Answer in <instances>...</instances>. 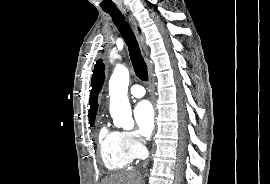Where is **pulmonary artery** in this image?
Returning <instances> with one entry per match:
<instances>
[{
	"label": "pulmonary artery",
	"mask_w": 270,
	"mask_h": 184,
	"mask_svg": "<svg viewBox=\"0 0 270 184\" xmlns=\"http://www.w3.org/2000/svg\"><path fill=\"white\" fill-rule=\"evenodd\" d=\"M130 94L135 98H141L145 95V90L141 85H133L130 88Z\"/></svg>",
	"instance_id": "pulmonary-artery-1"
}]
</instances>
